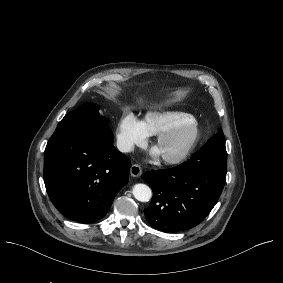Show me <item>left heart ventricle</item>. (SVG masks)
I'll return each instance as SVG.
<instances>
[{
    "mask_svg": "<svg viewBox=\"0 0 283 283\" xmlns=\"http://www.w3.org/2000/svg\"><path fill=\"white\" fill-rule=\"evenodd\" d=\"M188 136L187 129H184L177 137L172 140L157 143L161 153L162 159L177 156L183 149Z\"/></svg>",
    "mask_w": 283,
    "mask_h": 283,
    "instance_id": "b2bd125f",
    "label": "left heart ventricle"
}]
</instances>
